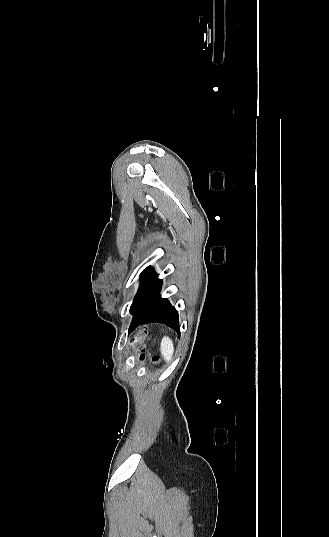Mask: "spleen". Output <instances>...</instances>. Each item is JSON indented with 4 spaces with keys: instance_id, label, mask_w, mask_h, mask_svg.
<instances>
[{
    "instance_id": "spleen-1",
    "label": "spleen",
    "mask_w": 329,
    "mask_h": 537,
    "mask_svg": "<svg viewBox=\"0 0 329 537\" xmlns=\"http://www.w3.org/2000/svg\"><path fill=\"white\" fill-rule=\"evenodd\" d=\"M174 353V345L173 341L167 337L164 336L161 342V354L165 361H171L172 356Z\"/></svg>"
}]
</instances>
